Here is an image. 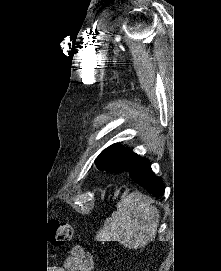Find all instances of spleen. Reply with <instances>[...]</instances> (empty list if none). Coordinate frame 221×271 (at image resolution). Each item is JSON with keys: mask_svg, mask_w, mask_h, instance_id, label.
<instances>
[{"mask_svg": "<svg viewBox=\"0 0 221 271\" xmlns=\"http://www.w3.org/2000/svg\"><path fill=\"white\" fill-rule=\"evenodd\" d=\"M160 211L142 193H129L117 203V211L107 217L97 233L98 241H119L129 249L145 247L153 241Z\"/></svg>", "mask_w": 221, "mask_h": 271, "instance_id": "3e777b00", "label": "spleen"}]
</instances>
